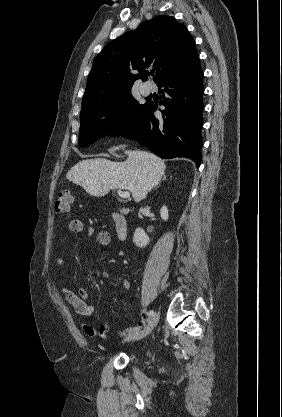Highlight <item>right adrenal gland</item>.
<instances>
[{
  "instance_id": "2a0ac1e0",
  "label": "right adrenal gland",
  "mask_w": 282,
  "mask_h": 417,
  "mask_svg": "<svg viewBox=\"0 0 282 417\" xmlns=\"http://www.w3.org/2000/svg\"><path fill=\"white\" fill-rule=\"evenodd\" d=\"M162 180H166V176H163ZM161 182V180H160ZM158 184H156L155 188H157Z\"/></svg>"
}]
</instances>
